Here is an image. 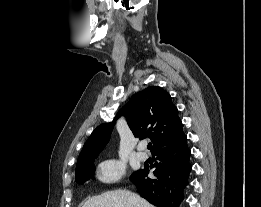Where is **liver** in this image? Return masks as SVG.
<instances>
[{
    "mask_svg": "<svg viewBox=\"0 0 261 207\" xmlns=\"http://www.w3.org/2000/svg\"><path fill=\"white\" fill-rule=\"evenodd\" d=\"M83 207H154L127 190H113L89 199Z\"/></svg>",
    "mask_w": 261,
    "mask_h": 207,
    "instance_id": "1",
    "label": "liver"
}]
</instances>
